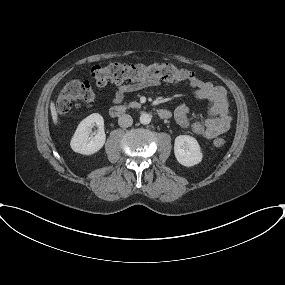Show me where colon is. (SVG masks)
<instances>
[{
    "mask_svg": "<svg viewBox=\"0 0 285 285\" xmlns=\"http://www.w3.org/2000/svg\"><path fill=\"white\" fill-rule=\"evenodd\" d=\"M91 76L98 86H104L108 82L156 80L172 83L189 84L196 80L194 72L178 67L175 64L163 63H110L106 66H94ZM95 97L92 86L88 81L73 80L64 85L56 99V108L60 115L66 116L71 111L75 102L92 101ZM215 147L224 146L223 138L213 141Z\"/></svg>",
    "mask_w": 285,
    "mask_h": 285,
    "instance_id": "1",
    "label": "colon"
}]
</instances>
